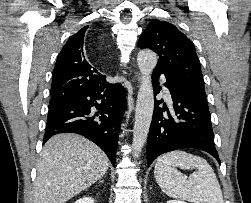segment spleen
<instances>
[{"label": "spleen", "instance_id": "spleen-1", "mask_svg": "<svg viewBox=\"0 0 251 203\" xmlns=\"http://www.w3.org/2000/svg\"><path fill=\"white\" fill-rule=\"evenodd\" d=\"M197 169L188 180L177 170ZM155 179L161 190L172 198L193 203H224L222 191L209 163L185 151H173L157 159Z\"/></svg>", "mask_w": 251, "mask_h": 203}]
</instances>
